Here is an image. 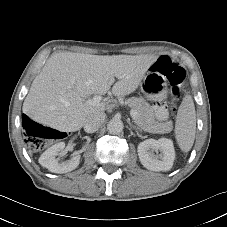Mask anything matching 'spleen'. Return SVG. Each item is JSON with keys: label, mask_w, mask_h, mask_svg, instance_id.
<instances>
[{"label": "spleen", "mask_w": 227, "mask_h": 227, "mask_svg": "<svg viewBox=\"0 0 227 227\" xmlns=\"http://www.w3.org/2000/svg\"><path fill=\"white\" fill-rule=\"evenodd\" d=\"M196 133V113L193 99L186 95L177 113L175 138L183 152H188L194 143Z\"/></svg>", "instance_id": "1"}]
</instances>
